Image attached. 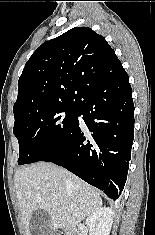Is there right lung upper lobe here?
Instances as JSON below:
<instances>
[{
  "mask_svg": "<svg viewBox=\"0 0 155 235\" xmlns=\"http://www.w3.org/2000/svg\"><path fill=\"white\" fill-rule=\"evenodd\" d=\"M122 71L103 36L88 27H74L31 55L18 81L14 117L30 110L77 105L86 91Z\"/></svg>",
  "mask_w": 155,
  "mask_h": 235,
  "instance_id": "obj_1",
  "label": "right lung upper lobe"
}]
</instances>
